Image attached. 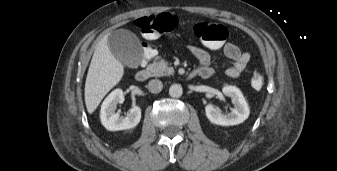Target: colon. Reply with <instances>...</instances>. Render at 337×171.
<instances>
[{
  "instance_id": "obj_1",
  "label": "colon",
  "mask_w": 337,
  "mask_h": 171,
  "mask_svg": "<svg viewBox=\"0 0 337 171\" xmlns=\"http://www.w3.org/2000/svg\"><path fill=\"white\" fill-rule=\"evenodd\" d=\"M136 25L146 37L155 38L160 34L174 30L178 26V19L172 14L163 13L141 17L137 20ZM193 32L202 47L212 49L223 48L228 36L227 29L223 25L206 22L195 24ZM155 56V49L147 47L141 53L140 60L144 64H149ZM251 84L255 89H260L264 85V76L259 69L254 70Z\"/></svg>"
}]
</instances>
